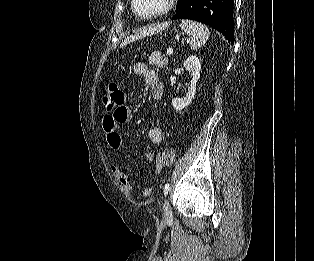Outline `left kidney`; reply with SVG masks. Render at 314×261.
I'll return each mask as SVG.
<instances>
[{
    "label": "left kidney",
    "instance_id": "1",
    "mask_svg": "<svg viewBox=\"0 0 314 261\" xmlns=\"http://www.w3.org/2000/svg\"><path fill=\"white\" fill-rule=\"evenodd\" d=\"M183 66L186 68L187 71L191 73L193 78L185 95L182 98L172 99V105L176 111H181L182 109L190 105L196 93V84L198 82V79L200 78L201 62L198 57L193 55L188 57L184 61Z\"/></svg>",
    "mask_w": 314,
    "mask_h": 261
}]
</instances>
